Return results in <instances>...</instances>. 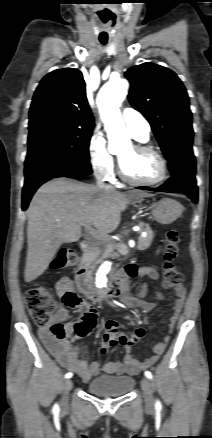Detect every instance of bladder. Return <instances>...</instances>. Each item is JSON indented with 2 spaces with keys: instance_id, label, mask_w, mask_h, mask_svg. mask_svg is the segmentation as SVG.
I'll return each mask as SVG.
<instances>
[{
  "instance_id": "bladder-1",
  "label": "bladder",
  "mask_w": 212,
  "mask_h": 438,
  "mask_svg": "<svg viewBox=\"0 0 212 438\" xmlns=\"http://www.w3.org/2000/svg\"><path fill=\"white\" fill-rule=\"evenodd\" d=\"M134 379L130 376H98L87 384V391L96 396H123L131 392Z\"/></svg>"
}]
</instances>
